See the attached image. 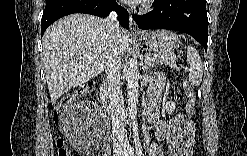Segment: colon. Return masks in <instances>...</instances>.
<instances>
[{"label":"colon","instance_id":"obj_1","mask_svg":"<svg viewBox=\"0 0 247 156\" xmlns=\"http://www.w3.org/2000/svg\"><path fill=\"white\" fill-rule=\"evenodd\" d=\"M90 87H91V84H86L62 97L53 115L54 121L57 125H64L68 122L67 117H66V112L68 108L78 99H80L88 91ZM184 88H185V92L188 98L186 114L188 118L191 119L195 113V100H196L195 92L193 88L189 85V83L187 82H185ZM56 149H57L58 156H69L70 155L69 146L62 137H59L57 139Z\"/></svg>","mask_w":247,"mask_h":156}]
</instances>
